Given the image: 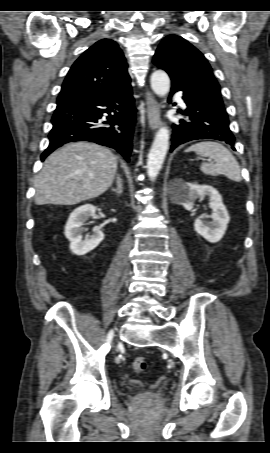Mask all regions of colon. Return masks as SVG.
<instances>
[{
	"label": "colon",
	"instance_id": "colon-1",
	"mask_svg": "<svg viewBox=\"0 0 270 453\" xmlns=\"http://www.w3.org/2000/svg\"><path fill=\"white\" fill-rule=\"evenodd\" d=\"M132 367L136 372H143L147 368V360L145 357H135L132 362Z\"/></svg>",
	"mask_w": 270,
	"mask_h": 453
}]
</instances>
